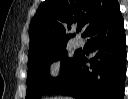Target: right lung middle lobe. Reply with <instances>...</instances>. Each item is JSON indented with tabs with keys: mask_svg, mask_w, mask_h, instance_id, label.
I'll return each mask as SVG.
<instances>
[{
	"mask_svg": "<svg viewBox=\"0 0 128 99\" xmlns=\"http://www.w3.org/2000/svg\"><path fill=\"white\" fill-rule=\"evenodd\" d=\"M79 52L72 58L67 57V50L64 47L42 53L28 60L27 92L26 99H36L44 94L54 93L69 77ZM62 59L61 73L58 78L52 79L49 76L52 62Z\"/></svg>",
	"mask_w": 128,
	"mask_h": 99,
	"instance_id": "obj_1",
	"label": "right lung middle lobe"
}]
</instances>
